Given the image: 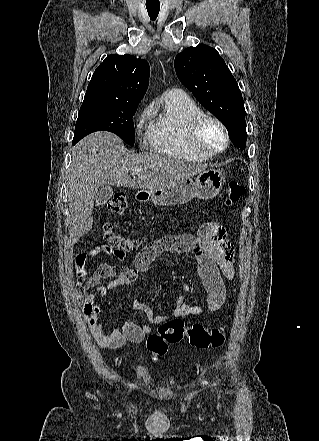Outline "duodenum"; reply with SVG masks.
<instances>
[{
	"label": "duodenum",
	"mask_w": 319,
	"mask_h": 441,
	"mask_svg": "<svg viewBox=\"0 0 319 441\" xmlns=\"http://www.w3.org/2000/svg\"><path fill=\"white\" fill-rule=\"evenodd\" d=\"M141 197H142V198H145V197H146V193H142V194H141Z\"/></svg>",
	"instance_id": "410a0bca"
}]
</instances>
